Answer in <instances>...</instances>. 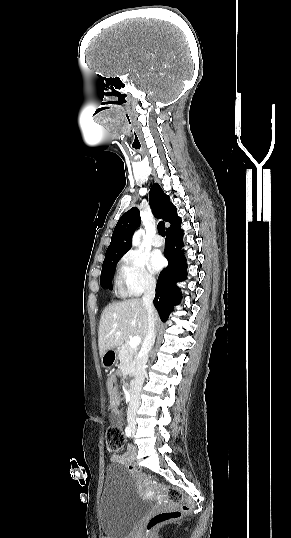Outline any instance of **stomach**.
<instances>
[{"mask_svg": "<svg viewBox=\"0 0 291 538\" xmlns=\"http://www.w3.org/2000/svg\"><path fill=\"white\" fill-rule=\"evenodd\" d=\"M117 359H118V356H117L116 349H109L105 351V353L101 357V363L103 367L110 368L113 365H115Z\"/></svg>", "mask_w": 291, "mask_h": 538, "instance_id": "1", "label": "stomach"}]
</instances>
